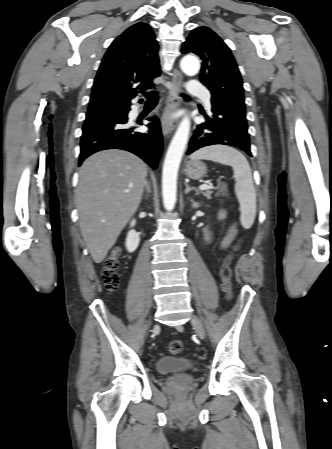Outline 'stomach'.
<instances>
[{"instance_id": "1", "label": "stomach", "mask_w": 332, "mask_h": 449, "mask_svg": "<svg viewBox=\"0 0 332 449\" xmlns=\"http://www.w3.org/2000/svg\"><path fill=\"white\" fill-rule=\"evenodd\" d=\"M187 177L199 180L203 178L207 173L206 165L198 160L189 161L185 168Z\"/></svg>"}]
</instances>
